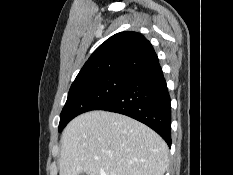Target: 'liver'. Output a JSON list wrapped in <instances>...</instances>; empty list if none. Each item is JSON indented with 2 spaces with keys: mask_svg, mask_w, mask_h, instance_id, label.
<instances>
[{
  "mask_svg": "<svg viewBox=\"0 0 233 175\" xmlns=\"http://www.w3.org/2000/svg\"><path fill=\"white\" fill-rule=\"evenodd\" d=\"M59 175H164L169 149L151 128L128 116L91 111L61 136Z\"/></svg>",
  "mask_w": 233,
  "mask_h": 175,
  "instance_id": "1",
  "label": "liver"
}]
</instances>
